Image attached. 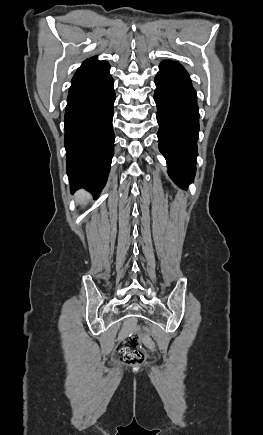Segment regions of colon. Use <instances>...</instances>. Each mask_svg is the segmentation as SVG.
Here are the masks:
<instances>
[{
    "instance_id": "colon-1",
    "label": "colon",
    "mask_w": 263,
    "mask_h": 435,
    "mask_svg": "<svg viewBox=\"0 0 263 435\" xmlns=\"http://www.w3.org/2000/svg\"><path fill=\"white\" fill-rule=\"evenodd\" d=\"M139 330L143 335H152L154 333L150 327H146L144 324ZM142 337L141 334L139 335L135 333L124 337L115 349L113 354L114 359L128 365H135L143 362L144 353L139 342V338L141 339Z\"/></svg>"
}]
</instances>
